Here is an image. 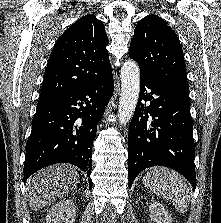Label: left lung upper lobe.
<instances>
[{"mask_svg":"<svg viewBox=\"0 0 221 223\" xmlns=\"http://www.w3.org/2000/svg\"><path fill=\"white\" fill-rule=\"evenodd\" d=\"M129 56L139 64L141 76L189 93L180 41L159 16L152 14L137 23Z\"/></svg>","mask_w":221,"mask_h":223,"instance_id":"5c2ea615","label":"left lung upper lobe"}]
</instances>
